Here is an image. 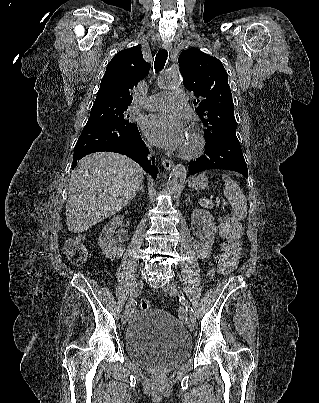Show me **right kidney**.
<instances>
[{"label":"right kidney","instance_id":"obj_1","mask_svg":"<svg viewBox=\"0 0 319 403\" xmlns=\"http://www.w3.org/2000/svg\"><path fill=\"white\" fill-rule=\"evenodd\" d=\"M122 222V216H115L106 224L99 237V245L103 254L111 260H117L122 257L125 250L124 238L114 236L116 228L121 226Z\"/></svg>","mask_w":319,"mask_h":403}]
</instances>
